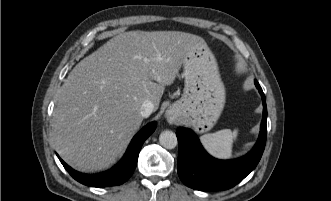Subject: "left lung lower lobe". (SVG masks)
<instances>
[{"instance_id":"0a47b994","label":"left lung lower lobe","mask_w":331,"mask_h":201,"mask_svg":"<svg viewBox=\"0 0 331 201\" xmlns=\"http://www.w3.org/2000/svg\"><path fill=\"white\" fill-rule=\"evenodd\" d=\"M255 85L263 101V118L260 134L253 149L235 160H218L202 147L193 131L180 127L178 138V175L188 187L201 191H218L234 187L257 166L263 154L267 137V108L265 95L259 83Z\"/></svg>"}]
</instances>
